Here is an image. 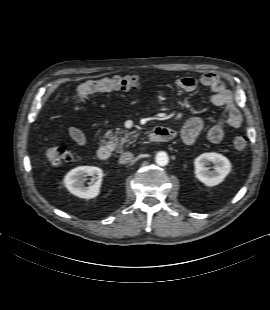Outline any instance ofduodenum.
Masks as SVG:
<instances>
[{"label":"duodenum","instance_id":"duodenum-1","mask_svg":"<svg viewBox=\"0 0 270 310\" xmlns=\"http://www.w3.org/2000/svg\"><path fill=\"white\" fill-rule=\"evenodd\" d=\"M176 133L173 129L157 126L154 127L149 133L150 141H169L175 137ZM97 157L99 160H108L111 156V149L107 145H101L97 149Z\"/></svg>","mask_w":270,"mask_h":310}]
</instances>
